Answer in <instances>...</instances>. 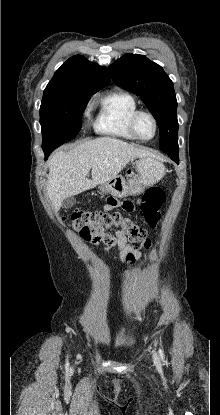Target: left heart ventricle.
<instances>
[{"instance_id":"left-heart-ventricle-1","label":"left heart ventricle","mask_w":220,"mask_h":415,"mask_svg":"<svg viewBox=\"0 0 220 415\" xmlns=\"http://www.w3.org/2000/svg\"><path fill=\"white\" fill-rule=\"evenodd\" d=\"M136 129L140 137L149 139L154 135V123L147 115H141L136 123Z\"/></svg>"}]
</instances>
